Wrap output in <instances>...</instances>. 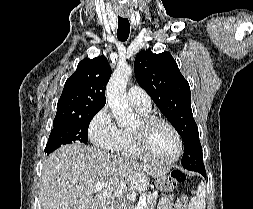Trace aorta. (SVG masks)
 I'll list each match as a JSON object with an SVG mask.
<instances>
[{
  "label": "aorta",
  "mask_w": 253,
  "mask_h": 209,
  "mask_svg": "<svg viewBox=\"0 0 253 209\" xmlns=\"http://www.w3.org/2000/svg\"><path fill=\"white\" fill-rule=\"evenodd\" d=\"M132 75V68L127 64H118L106 88L107 103L118 126L134 123L135 114L126 97V86Z\"/></svg>",
  "instance_id": "aorta-1"
}]
</instances>
